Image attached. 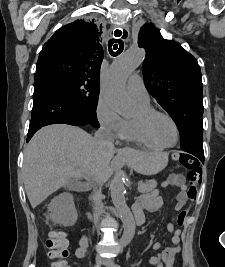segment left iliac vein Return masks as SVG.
<instances>
[{"mask_svg":"<svg viewBox=\"0 0 225 267\" xmlns=\"http://www.w3.org/2000/svg\"><path fill=\"white\" fill-rule=\"evenodd\" d=\"M103 264L106 267H116V264L112 260H108V259L103 260Z\"/></svg>","mask_w":225,"mask_h":267,"instance_id":"1","label":"left iliac vein"}]
</instances>
